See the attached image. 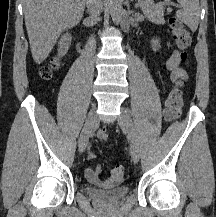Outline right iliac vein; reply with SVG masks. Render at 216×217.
<instances>
[{
    "instance_id": "1",
    "label": "right iliac vein",
    "mask_w": 216,
    "mask_h": 217,
    "mask_svg": "<svg viewBox=\"0 0 216 217\" xmlns=\"http://www.w3.org/2000/svg\"><path fill=\"white\" fill-rule=\"evenodd\" d=\"M98 124L97 115L95 112V106L90 110L86 120L84 127L81 131L79 141H78V147L79 151L83 152L86 149V146L89 141V137L94 132Z\"/></svg>"
}]
</instances>
